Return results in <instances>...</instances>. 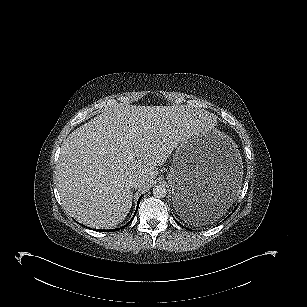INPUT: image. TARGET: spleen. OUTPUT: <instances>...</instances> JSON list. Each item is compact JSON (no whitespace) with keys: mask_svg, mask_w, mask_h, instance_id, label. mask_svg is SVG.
<instances>
[{"mask_svg":"<svg viewBox=\"0 0 307 307\" xmlns=\"http://www.w3.org/2000/svg\"><path fill=\"white\" fill-rule=\"evenodd\" d=\"M224 210H216V212L203 211L199 212L197 215L193 216L191 220H188L190 224L193 225H206L217 221L224 213Z\"/></svg>","mask_w":307,"mask_h":307,"instance_id":"spleen-1","label":"spleen"}]
</instances>
